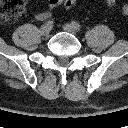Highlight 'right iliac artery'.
<instances>
[{
	"label": "right iliac artery",
	"mask_w": 128,
	"mask_h": 128,
	"mask_svg": "<svg viewBox=\"0 0 128 128\" xmlns=\"http://www.w3.org/2000/svg\"><path fill=\"white\" fill-rule=\"evenodd\" d=\"M46 26H48L50 29L53 27V21L49 20L45 23Z\"/></svg>",
	"instance_id": "1"
}]
</instances>
